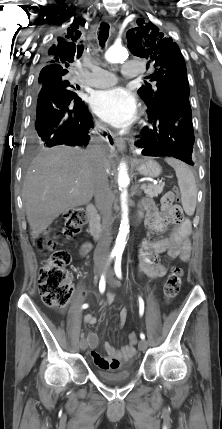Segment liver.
<instances>
[{
    "instance_id": "1",
    "label": "liver",
    "mask_w": 222,
    "mask_h": 429,
    "mask_svg": "<svg viewBox=\"0 0 222 429\" xmlns=\"http://www.w3.org/2000/svg\"><path fill=\"white\" fill-rule=\"evenodd\" d=\"M92 159L87 150L65 146L45 149L31 162L23 184L22 199L32 233L38 237L69 209L86 205L94 195L97 167L108 175L110 160L102 150Z\"/></svg>"
}]
</instances>
